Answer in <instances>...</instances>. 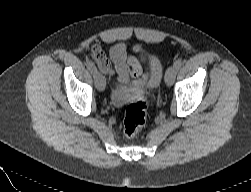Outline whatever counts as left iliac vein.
<instances>
[{
    "mask_svg": "<svg viewBox=\"0 0 251 192\" xmlns=\"http://www.w3.org/2000/svg\"><path fill=\"white\" fill-rule=\"evenodd\" d=\"M176 77V69L174 67H169L165 74V83L171 86L174 83Z\"/></svg>",
    "mask_w": 251,
    "mask_h": 192,
    "instance_id": "4c4485c4",
    "label": "left iliac vein"
}]
</instances>
